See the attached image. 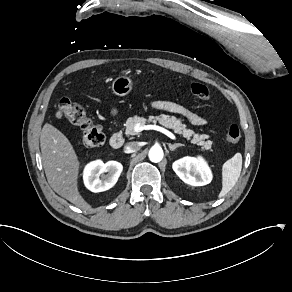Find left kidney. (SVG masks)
Listing matches in <instances>:
<instances>
[{"label": "left kidney", "instance_id": "left-kidney-1", "mask_svg": "<svg viewBox=\"0 0 292 292\" xmlns=\"http://www.w3.org/2000/svg\"><path fill=\"white\" fill-rule=\"evenodd\" d=\"M182 181L192 186H204L212 181V172L202 156L183 157L172 165Z\"/></svg>", "mask_w": 292, "mask_h": 292}]
</instances>
